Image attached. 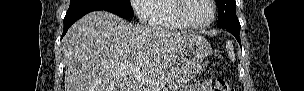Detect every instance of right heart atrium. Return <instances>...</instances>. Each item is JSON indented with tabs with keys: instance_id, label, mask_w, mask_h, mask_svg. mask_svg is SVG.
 <instances>
[{
	"instance_id": "1",
	"label": "right heart atrium",
	"mask_w": 304,
	"mask_h": 91,
	"mask_svg": "<svg viewBox=\"0 0 304 91\" xmlns=\"http://www.w3.org/2000/svg\"><path fill=\"white\" fill-rule=\"evenodd\" d=\"M156 0H132L131 4L134 12L141 22H150L154 20V15L151 6Z\"/></svg>"
}]
</instances>
